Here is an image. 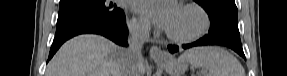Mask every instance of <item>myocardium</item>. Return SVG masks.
Listing matches in <instances>:
<instances>
[{"instance_id":"obj_1","label":"myocardium","mask_w":287,"mask_h":76,"mask_svg":"<svg viewBox=\"0 0 287 76\" xmlns=\"http://www.w3.org/2000/svg\"><path fill=\"white\" fill-rule=\"evenodd\" d=\"M181 9H190L198 13L201 18V24L199 28L191 34L178 36L166 31V36L169 40L176 43H190L201 38L210 27V16L208 12L199 4L194 2L184 3L180 6Z\"/></svg>"}]
</instances>
